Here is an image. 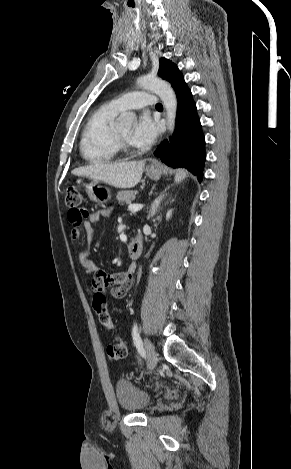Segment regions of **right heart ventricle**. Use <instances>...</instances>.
Wrapping results in <instances>:
<instances>
[{
  "label": "right heart ventricle",
  "instance_id": "obj_1",
  "mask_svg": "<svg viewBox=\"0 0 291 469\" xmlns=\"http://www.w3.org/2000/svg\"><path fill=\"white\" fill-rule=\"evenodd\" d=\"M120 110L112 103L100 106L88 118L80 139V153L89 163L115 160L119 150L114 139L113 122Z\"/></svg>",
  "mask_w": 291,
  "mask_h": 469
}]
</instances>
